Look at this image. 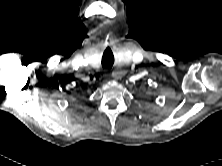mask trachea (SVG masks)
<instances>
[{"mask_svg":"<svg viewBox=\"0 0 222 166\" xmlns=\"http://www.w3.org/2000/svg\"><path fill=\"white\" fill-rule=\"evenodd\" d=\"M114 64V56L110 49H106L102 57V67L110 69Z\"/></svg>","mask_w":222,"mask_h":166,"instance_id":"obj_1","label":"trachea"}]
</instances>
